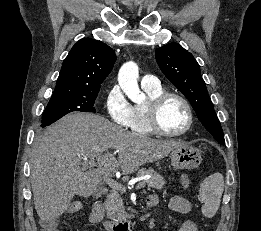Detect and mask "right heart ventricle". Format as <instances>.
<instances>
[{"instance_id": "right-heart-ventricle-1", "label": "right heart ventricle", "mask_w": 261, "mask_h": 231, "mask_svg": "<svg viewBox=\"0 0 261 231\" xmlns=\"http://www.w3.org/2000/svg\"><path fill=\"white\" fill-rule=\"evenodd\" d=\"M143 89L145 90L148 96L147 102L164 92V90L160 85L155 88L143 87ZM147 102L142 104H135L134 106H132L131 121L129 125V128L133 133L143 135V136H149L154 134V132L152 131V129L150 128L147 122V112H146Z\"/></svg>"}]
</instances>
